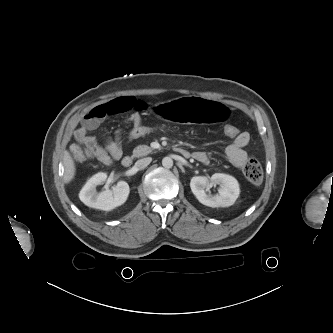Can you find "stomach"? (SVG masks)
I'll return each instance as SVG.
<instances>
[{"mask_svg": "<svg viewBox=\"0 0 333 333\" xmlns=\"http://www.w3.org/2000/svg\"><path fill=\"white\" fill-rule=\"evenodd\" d=\"M165 108L163 112L161 109ZM156 116L161 120L172 119L178 124L196 122L199 124L227 126L233 123L236 112L227 103L210 102L202 95L193 98L183 96L174 102L161 103L155 109Z\"/></svg>", "mask_w": 333, "mask_h": 333, "instance_id": "0dacf381", "label": "stomach"}]
</instances>
